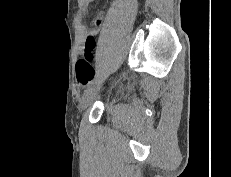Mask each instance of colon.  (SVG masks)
<instances>
[{
  "label": "colon",
  "instance_id": "obj_1",
  "mask_svg": "<svg viewBox=\"0 0 231 177\" xmlns=\"http://www.w3.org/2000/svg\"><path fill=\"white\" fill-rule=\"evenodd\" d=\"M94 46V39L89 36L86 40V52L84 57L76 63V78L80 86L87 85L94 77L95 71L91 64V50Z\"/></svg>",
  "mask_w": 231,
  "mask_h": 177
}]
</instances>
